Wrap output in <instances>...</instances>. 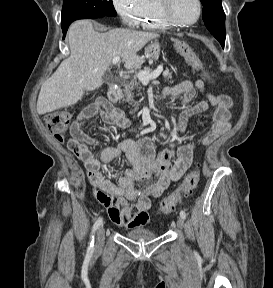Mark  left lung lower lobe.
<instances>
[{"mask_svg":"<svg viewBox=\"0 0 273 288\" xmlns=\"http://www.w3.org/2000/svg\"><path fill=\"white\" fill-rule=\"evenodd\" d=\"M213 35L220 42L221 46L224 48L226 35L225 34L221 35V34H217V33H213Z\"/></svg>","mask_w":273,"mask_h":288,"instance_id":"obj_1","label":"left lung lower lobe"}]
</instances>
